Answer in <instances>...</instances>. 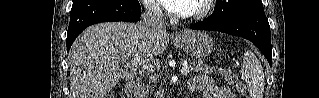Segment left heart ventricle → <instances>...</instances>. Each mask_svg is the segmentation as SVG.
<instances>
[{
  "label": "left heart ventricle",
  "instance_id": "obj_1",
  "mask_svg": "<svg viewBox=\"0 0 319 98\" xmlns=\"http://www.w3.org/2000/svg\"><path fill=\"white\" fill-rule=\"evenodd\" d=\"M196 3L197 1H193L191 10H193L196 7Z\"/></svg>",
  "mask_w": 319,
  "mask_h": 98
}]
</instances>
